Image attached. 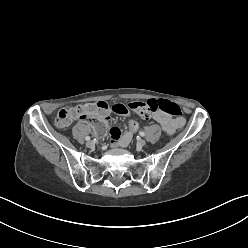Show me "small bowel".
<instances>
[{"instance_id": "obj_1", "label": "small bowel", "mask_w": 248, "mask_h": 248, "mask_svg": "<svg viewBox=\"0 0 248 248\" xmlns=\"http://www.w3.org/2000/svg\"><path fill=\"white\" fill-rule=\"evenodd\" d=\"M153 119L169 135L175 133L178 129L182 128L185 123L182 117L179 118L172 117L164 112L155 113L153 115ZM134 134L135 133H129L128 130L125 133H121L118 128H112L110 131V135L112 138L111 145L113 147H125L129 144Z\"/></svg>"}]
</instances>
